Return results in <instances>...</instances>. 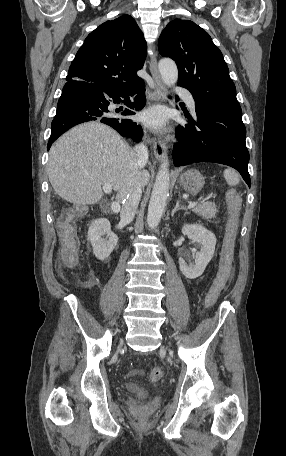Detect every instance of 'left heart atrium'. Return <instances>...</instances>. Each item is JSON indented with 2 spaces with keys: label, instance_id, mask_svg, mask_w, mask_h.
<instances>
[{
  "label": "left heart atrium",
  "instance_id": "39dd6f15",
  "mask_svg": "<svg viewBox=\"0 0 286 456\" xmlns=\"http://www.w3.org/2000/svg\"><path fill=\"white\" fill-rule=\"evenodd\" d=\"M142 121L151 128L160 129L165 125L166 114L161 108H151L142 114Z\"/></svg>",
  "mask_w": 286,
  "mask_h": 456
}]
</instances>
